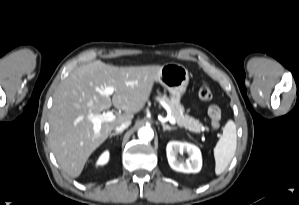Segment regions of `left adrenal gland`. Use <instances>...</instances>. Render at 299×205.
I'll list each match as a JSON object with an SVG mask.
<instances>
[{"label":"left adrenal gland","mask_w":299,"mask_h":205,"mask_svg":"<svg viewBox=\"0 0 299 205\" xmlns=\"http://www.w3.org/2000/svg\"><path fill=\"white\" fill-rule=\"evenodd\" d=\"M162 127H163V130L166 131V130H176L177 128L176 127H170L168 125H166L165 123H162Z\"/></svg>","instance_id":"a2214340"}]
</instances>
